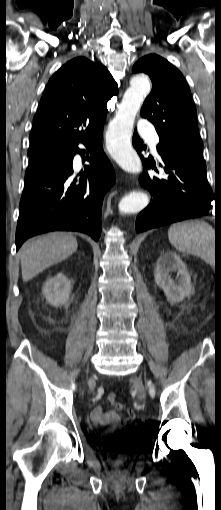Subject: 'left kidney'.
Masks as SVG:
<instances>
[{
    "instance_id": "obj_1",
    "label": "left kidney",
    "mask_w": 221,
    "mask_h": 510,
    "mask_svg": "<svg viewBox=\"0 0 221 510\" xmlns=\"http://www.w3.org/2000/svg\"><path fill=\"white\" fill-rule=\"evenodd\" d=\"M177 271L180 277L178 283L170 277V272ZM155 282L164 291L167 299L180 302L192 294L191 276L181 258L171 251L163 253L157 260L155 268Z\"/></svg>"
}]
</instances>
